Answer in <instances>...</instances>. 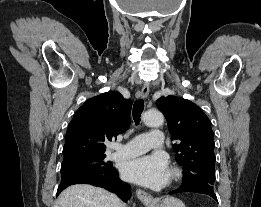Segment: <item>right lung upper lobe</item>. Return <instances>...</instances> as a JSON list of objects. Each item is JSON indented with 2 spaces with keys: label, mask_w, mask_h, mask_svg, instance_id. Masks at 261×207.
Masks as SVG:
<instances>
[{
  "label": "right lung upper lobe",
  "mask_w": 261,
  "mask_h": 207,
  "mask_svg": "<svg viewBox=\"0 0 261 207\" xmlns=\"http://www.w3.org/2000/svg\"><path fill=\"white\" fill-rule=\"evenodd\" d=\"M131 105L130 99L114 91L86 100L68 126L63 161L105 155L104 141H111L129 128Z\"/></svg>",
  "instance_id": "1"
}]
</instances>
